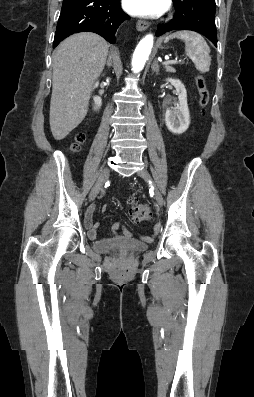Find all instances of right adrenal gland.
<instances>
[{"label": "right adrenal gland", "mask_w": 254, "mask_h": 397, "mask_svg": "<svg viewBox=\"0 0 254 397\" xmlns=\"http://www.w3.org/2000/svg\"><path fill=\"white\" fill-rule=\"evenodd\" d=\"M107 66L111 67L112 66V59L111 56L109 55L108 60H107Z\"/></svg>", "instance_id": "1"}]
</instances>
